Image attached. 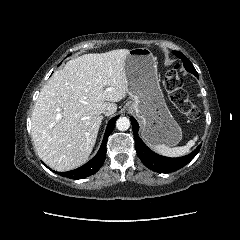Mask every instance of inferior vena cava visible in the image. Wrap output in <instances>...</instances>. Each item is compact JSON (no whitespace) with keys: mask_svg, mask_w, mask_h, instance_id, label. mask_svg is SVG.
I'll return each instance as SVG.
<instances>
[{"mask_svg":"<svg viewBox=\"0 0 240 240\" xmlns=\"http://www.w3.org/2000/svg\"><path fill=\"white\" fill-rule=\"evenodd\" d=\"M101 113H102V114H105V115L108 114L105 110L101 111Z\"/></svg>","mask_w":240,"mask_h":240,"instance_id":"1","label":"inferior vena cava"}]
</instances>
